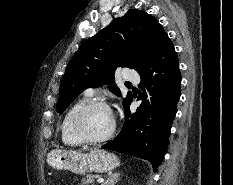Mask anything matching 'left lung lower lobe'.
<instances>
[{
	"instance_id": "0a47b994",
	"label": "left lung lower lobe",
	"mask_w": 233,
	"mask_h": 185,
	"mask_svg": "<svg viewBox=\"0 0 233 185\" xmlns=\"http://www.w3.org/2000/svg\"><path fill=\"white\" fill-rule=\"evenodd\" d=\"M174 46L169 37L161 43L148 65L139 72V87L152 91L151 103L144 93L143 103L131 114L125 109V123L113 140L102 148L148 160L157 170L166 153L172 122L181 95V73ZM153 85L152 88H150Z\"/></svg>"
}]
</instances>
